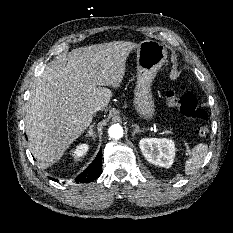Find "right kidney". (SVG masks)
<instances>
[{
  "label": "right kidney",
  "instance_id": "obj_1",
  "mask_svg": "<svg viewBox=\"0 0 233 233\" xmlns=\"http://www.w3.org/2000/svg\"><path fill=\"white\" fill-rule=\"evenodd\" d=\"M89 150V145L88 144H79L77 145L73 150H71V155L75 158V159H80L81 157H83L87 151Z\"/></svg>",
  "mask_w": 233,
  "mask_h": 233
}]
</instances>
